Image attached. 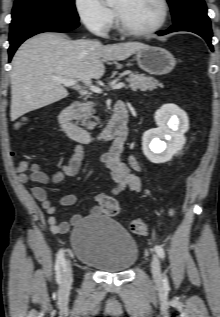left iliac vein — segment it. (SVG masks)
Masks as SVG:
<instances>
[{"label": "left iliac vein", "instance_id": "obj_1", "mask_svg": "<svg viewBox=\"0 0 220 317\" xmlns=\"http://www.w3.org/2000/svg\"><path fill=\"white\" fill-rule=\"evenodd\" d=\"M151 270L153 277L156 281H161L162 274H161V264L160 260L157 255L153 254L152 261H151Z\"/></svg>", "mask_w": 220, "mask_h": 317}]
</instances>
